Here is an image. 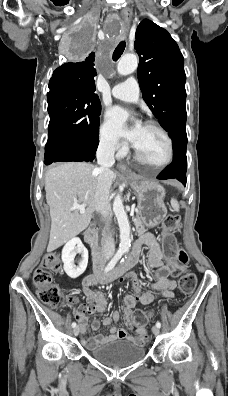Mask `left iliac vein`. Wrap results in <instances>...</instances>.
I'll return each mask as SVG.
<instances>
[{"label": "left iliac vein", "mask_w": 228, "mask_h": 396, "mask_svg": "<svg viewBox=\"0 0 228 396\" xmlns=\"http://www.w3.org/2000/svg\"><path fill=\"white\" fill-rule=\"evenodd\" d=\"M152 332L154 335H159L160 329L157 326L152 327Z\"/></svg>", "instance_id": "4c4485c4"}]
</instances>
